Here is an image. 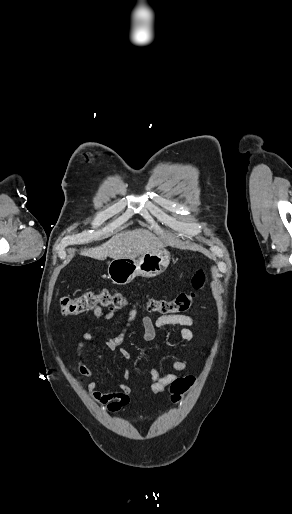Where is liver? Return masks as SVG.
<instances>
[{"label": "liver", "instance_id": "obj_1", "mask_svg": "<svg viewBox=\"0 0 292 514\" xmlns=\"http://www.w3.org/2000/svg\"><path fill=\"white\" fill-rule=\"evenodd\" d=\"M158 248H165V244L154 234L148 230H133V232L116 234L111 240L97 248L82 250L80 256H88L94 260H106L109 256V258L118 260V258H137V256L153 252Z\"/></svg>", "mask_w": 292, "mask_h": 514}]
</instances>
